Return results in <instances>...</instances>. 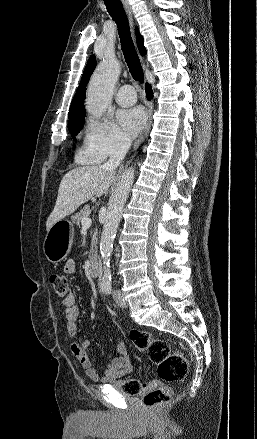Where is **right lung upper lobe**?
<instances>
[{"instance_id": "obj_1", "label": "right lung upper lobe", "mask_w": 257, "mask_h": 439, "mask_svg": "<svg viewBox=\"0 0 257 439\" xmlns=\"http://www.w3.org/2000/svg\"><path fill=\"white\" fill-rule=\"evenodd\" d=\"M136 41L138 45V49L140 50V53L142 55L146 54V49L144 47L143 37L139 33L138 28H136ZM96 66V58L94 55H92L85 67V70L83 72L81 82L77 88L76 94L72 100L70 112L69 114H84L85 115V106H84V99H85V90L87 83L90 79L91 74L93 73Z\"/></svg>"}]
</instances>
